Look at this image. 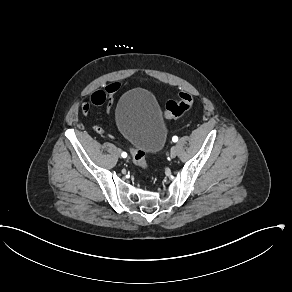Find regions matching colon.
Here are the masks:
<instances>
[{
	"label": "colon",
	"mask_w": 292,
	"mask_h": 292,
	"mask_svg": "<svg viewBox=\"0 0 292 292\" xmlns=\"http://www.w3.org/2000/svg\"><path fill=\"white\" fill-rule=\"evenodd\" d=\"M106 99V94L104 91L96 92L92 97V104L98 106L104 103ZM194 104L192 96L189 94L183 93L176 100H169L166 102L165 107L162 111V116L166 119H173L181 117L187 111H189ZM89 108V104H85L83 109L86 110ZM96 131L101 132L102 129L100 126H95ZM130 156L132 162L139 167L140 169L147 168L146 155L145 152L138 147H131Z\"/></svg>",
	"instance_id": "5ec220e1"
}]
</instances>
